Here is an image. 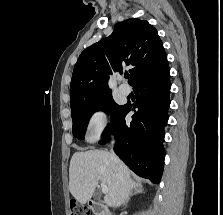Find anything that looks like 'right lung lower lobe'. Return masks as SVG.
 I'll return each mask as SVG.
<instances>
[{
	"label": "right lung lower lobe",
	"mask_w": 223,
	"mask_h": 215,
	"mask_svg": "<svg viewBox=\"0 0 223 215\" xmlns=\"http://www.w3.org/2000/svg\"><path fill=\"white\" fill-rule=\"evenodd\" d=\"M169 68L153 78L138 81L133 85L136 101L126 104L115 128L109 132L100 144L109 141L110 133L116 138L114 151L120 159L136 174L160 182L164 166V126L167 123V111L170 105L171 88ZM137 112L127 123L125 116L130 111Z\"/></svg>",
	"instance_id": "right-lung-lower-lobe-1"
}]
</instances>
